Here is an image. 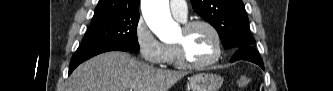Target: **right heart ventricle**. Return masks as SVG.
Returning <instances> with one entry per match:
<instances>
[{"instance_id": "1", "label": "right heart ventricle", "mask_w": 333, "mask_h": 91, "mask_svg": "<svg viewBox=\"0 0 333 91\" xmlns=\"http://www.w3.org/2000/svg\"><path fill=\"white\" fill-rule=\"evenodd\" d=\"M165 63L177 64L176 63V58H175V50H174V47L171 46V45L166 46Z\"/></svg>"}]
</instances>
